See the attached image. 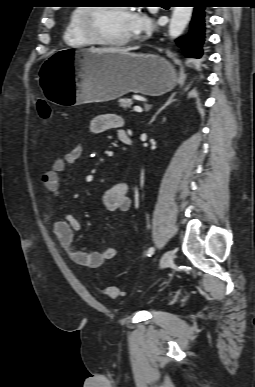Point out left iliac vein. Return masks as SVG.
Here are the masks:
<instances>
[{"instance_id":"1","label":"left iliac vein","mask_w":255,"mask_h":387,"mask_svg":"<svg viewBox=\"0 0 255 387\" xmlns=\"http://www.w3.org/2000/svg\"><path fill=\"white\" fill-rule=\"evenodd\" d=\"M173 259H174V251L173 250L166 251L161 257L160 268L164 269L169 267L173 263Z\"/></svg>"}]
</instances>
